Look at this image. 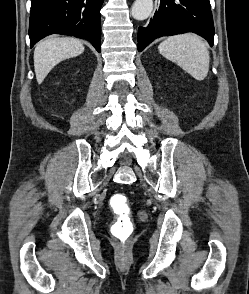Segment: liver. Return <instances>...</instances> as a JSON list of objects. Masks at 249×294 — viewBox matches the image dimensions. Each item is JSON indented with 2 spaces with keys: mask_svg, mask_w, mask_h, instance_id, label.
<instances>
[{
  "mask_svg": "<svg viewBox=\"0 0 249 294\" xmlns=\"http://www.w3.org/2000/svg\"><path fill=\"white\" fill-rule=\"evenodd\" d=\"M82 43L71 37H53L39 42L34 50V69L40 84L55 65L83 53Z\"/></svg>",
  "mask_w": 249,
  "mask_h": 294,
  "instance_id": "obj_1",
  "label": "liver"
}]
</instances>
